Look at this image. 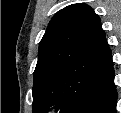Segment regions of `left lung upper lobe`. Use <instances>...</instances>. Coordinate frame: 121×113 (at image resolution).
Returning a JSON list of instances; mask_svg holds the SVG:
<instances>
[{"label":"left lung upper lobe","mask_w":121,"mask_h":113,"mask_svg":"<svg viewBox=\"0 0 121 113\" xmlns=\"http://www.w3.org/2000/svg\"><path fill=\"white\" fill-rule=\"evenodd\" d=\"M100 19L86 4H72L50 21L34 71L33 112L55 106L70 113L111 60Z\"/></svg>","instance_id":"5c2ea615"}]
</instances>
